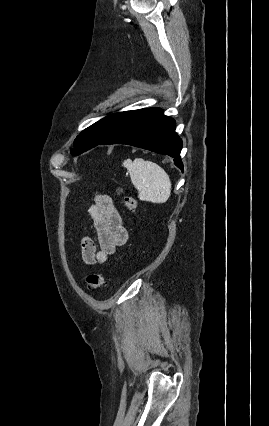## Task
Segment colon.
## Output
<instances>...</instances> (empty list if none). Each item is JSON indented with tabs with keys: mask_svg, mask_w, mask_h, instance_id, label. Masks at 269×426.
<instances>
[{
	"mask_svg": "<svg viewBox=\"0 0 269 426\" xmlns=\"http://www.w3.org/2000/svg\"><path fill=\"white\" fill-rule=\"evenodd\" d=\"M118 193L122 191L119 189ZM122 205L130 212H134L137 206L136 199L131 195H123L121 199ZM86 284L90 290H99L106 286L107 277L100 273H91L86 277Z\"/></svg>",
	"mask_w": 269,
	"mask_h": 426,
	"instance_id": "1",
	"label": "colon"
}]
</instances>
